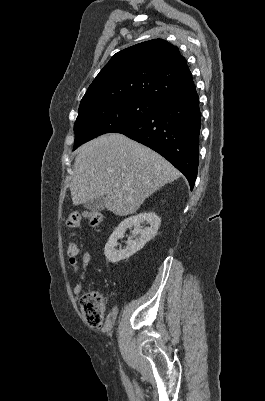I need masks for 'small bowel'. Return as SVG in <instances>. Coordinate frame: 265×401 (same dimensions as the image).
Instances as JSON below:
<instances>
[{"label":"small bowel","instance_id":"obj_1","mask_svg":"<svg viewBox=\"0 0 265 401\" xmlns=\"http://www.w3.org/2000/svg\"><path fill=\"white\" fill-rule=\"evenodd\" d=\"M91 260H92L91 251H86L82 254L81 264L78 263L77 256L75 257L69 256V264L72 268V272L74 275L78 276V281L73 288V293L76 297L80 296V294L84 289L86 272Z\"/></svg>","mask_w":265,"mask_h":401}]
</instances>
